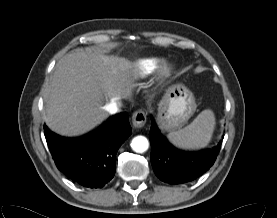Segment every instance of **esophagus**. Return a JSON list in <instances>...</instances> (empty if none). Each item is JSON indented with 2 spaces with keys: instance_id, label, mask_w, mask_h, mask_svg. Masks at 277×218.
<instances>
[{
  "instance_id": "34e87169",
  "label": "esophagus",
  "mask_w": 277,
  "mask_h": 218,
  "mask_svg": "<svg viewBox=\"0 0 277 218\" xmlns=\"http://www.w3.org/2000/svg\"><path fill=\"white\" fill-rule=\"evenodd\" d=\"M146 123V113L143 110H137L132 115V124L135 128H141Z\"/></svg>"
}]
</instances>
